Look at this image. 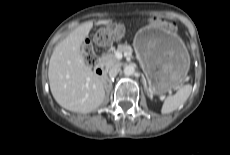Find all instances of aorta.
Listing matches in <instances>:
<instances>
[{
	"instance_id": "1",
	"label": "aorta",
	"mask_w": 230,
	"mask_h": 155,
	"mask_svg": "<svg viewBox=\"0 0 230 155\" xmlns=\"http://www.w3.org/2000/svg\"><path fill=\"white\" fill-rule=\"evenodd\" d=\"M123 72L126 76H131L135 74V66L133 64L125 65Z\"/></svg>"
}]
</instances>
